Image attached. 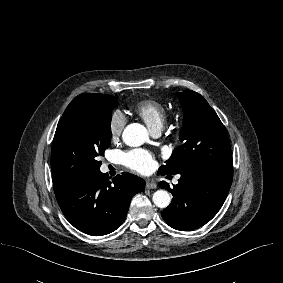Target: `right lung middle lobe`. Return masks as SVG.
Here are the masks:
<instances>
[{"mask_svg":"<svg viewBox=\"0 0 283 283\" xmlns=\"http://www.w3.org/2000/svg\"><path fill=\"white\" fill-rule=\"evenodd\" d=\"M108 95L74 98L62 115L53 140L51 169L54 190L100 170L99 156L111 143L112 111Z\"/></svg>","mask_w":283,"mask_h":283,"instance_id":"right-lung-middle-lobe-1","label":"right lung middle lobe"}]
</instances>
